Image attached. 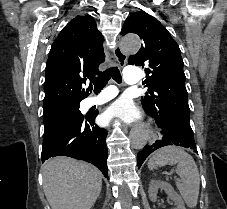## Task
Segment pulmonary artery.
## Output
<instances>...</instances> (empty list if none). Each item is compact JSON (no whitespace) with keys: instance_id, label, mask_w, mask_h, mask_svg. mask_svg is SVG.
<instances>
[{"instance_id":"1","label":"pulmonary artery","mask_w":227,"mask_h":209,"mask_svg":"<svg viewBox=\"0 0 227 209\" xmlns=\"http://www.w3.org/2000/svg\"><path fill=\"white\" fill-rule=\"evenodd\" d=\"M123 78H125V84L139 83V71L137 70V67L126 66L123 71ZM114 93H116V88H107V93L85 97V102L89 106L101 105L109 101L113 97Z\"/></svg>"}]
</instances>
